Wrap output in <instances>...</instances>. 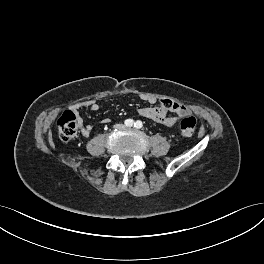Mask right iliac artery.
<instances>
[{
  "instance_id": "1",
  "label": "right iliac artery",
  "mask_w": 264,
  "mask_h": 264,
  "mask_svg": "<svg viewBox=\"0 0 264 264\" xmlns=\"http://www.w3.org/2000/svg\"><path fill=\"white\" fill-rule=\"evenodd\" d=\"M124 124L127 126V127H131L133 126L134 124V121L132 119H126Z\"/></svg>"
}]
</instances>
